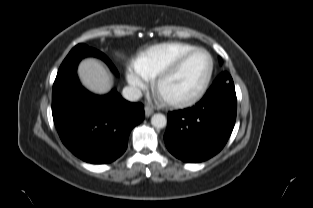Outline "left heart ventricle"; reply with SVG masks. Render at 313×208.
<instances>
[{
    "mask_svg": "<svg viewBox=\"0 0 313 208\" xmlns=\"http://www.w3.org/2000/svg\"><path fill=\"white\" fill-rule=\"evenodd\" d=\"M209 61L204 53H196L182 66L180 71L162 87V95L167 98H185L193 95L204 81Z\"/></svg>",
    "mask_w": 313,
    "mask_h": 208,
    "instance_id": "b2bd125f",
    "label": "left heart ventricle"
}]
</instances>
